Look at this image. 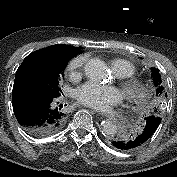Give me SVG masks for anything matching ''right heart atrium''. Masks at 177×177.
I'll use <instances>...</instances> for the list:
<instances>
[{"label":"right heart atrium","instance_id":"right-heart-atrium-1","mask_svg":"<svg viewBox=\"0 0 177 177\" xmlns=\"http://www.w3.org/2000/svg\"><path fill=\"white\" fill-rule=\"evenodd\" d=\"M84 63H85L84 56L75 57L69 62L67 66V70L72 79H78L81 76V70H82Z\"/></svg>","mask_w":177,"mask_h":177}]
</instances>
